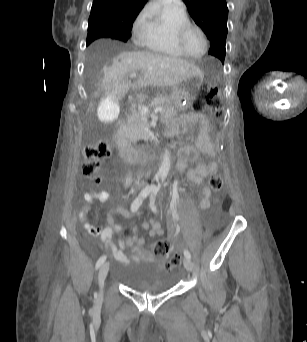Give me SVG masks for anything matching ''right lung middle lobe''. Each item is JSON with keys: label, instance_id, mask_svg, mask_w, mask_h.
Returning <instances> with one entry per match:
<instances>
[{"label": "right lung middle lobe", "instance_id": "obj_1", "mask_svg": "<svg viewBox=\"0 0 307 342\" xmlns=\"http://www.w3.org/2000/svg\"><path fill=\"white\" fill-rule=\"evenodd\" d=\"M100 37H111L114 39H119L126 42L130 37V32L123 31H111L104 28H99L95 26L88 27L87 45H89L95 39Z\"/></svg>", "mask_w": 307, "mask_h": 342}]
</instances>
